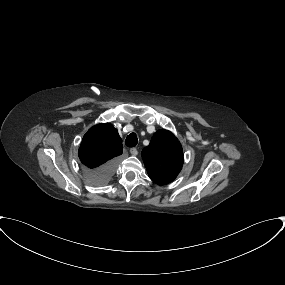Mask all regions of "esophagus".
I'll return each mask as SVG.
<instances>
[{"label":"esophagus","mask_w":285,"mask_h":285,"mask_svg":"<svg viewBox=\"0 0 285 285\" xmlns=\"http://www.w3.org/2000/svg\"><path fill=\"white\" fill-rule=\"evenodd\" d=\"M130 153L132 154V155H137L138 154V150H137V148H135V147H133V148H131L130 149Z\"/></svg>","instance_id":"34e87169"}]
</instances>
